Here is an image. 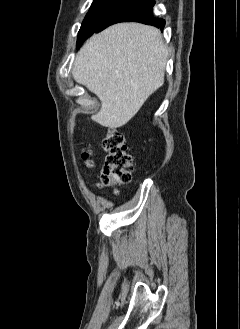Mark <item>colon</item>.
I'll return each mask as SVG.
<instances>
[{"mask_svg":"<svg viewBox=\"0 0 240 329\" xmlns=\"http://www.w3.org/2000/svg\"><path fill=\"white\" fill-rule=\"evenodd\" d=\"M107 152L104 169L100 176V184L104 187H114L128 184L132 179L133 157L125 143L124 135L118 130L109 131L102 142ZM89 151L84 152V158L92 165Z\"/></svg>","mask_w":240,"mask_h":329,"instance_id":"obj_1","label":"colon"}]
</instances>
